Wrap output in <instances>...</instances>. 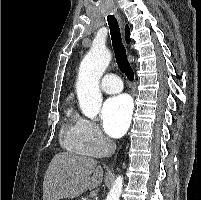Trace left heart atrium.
Instances as JSON below:
<instances>
[{"label":"left heart atrium","mask_w":201,"mask_h":200,"mask_svg":"<svg viewBox=\"0 0 201 200\" xmlns=\"http://www.w3.org/2000/svg\"><path fill=\"white\" fill-rule=\"evenodd\" d=\"M132 102L126 95L108 99L102 108V122L106 133L114 138L127 131L132 117Z\"/></svg>","instance_id":"left-heart-atrium-1"}]
</instances>
